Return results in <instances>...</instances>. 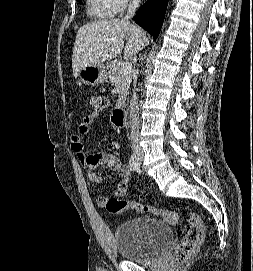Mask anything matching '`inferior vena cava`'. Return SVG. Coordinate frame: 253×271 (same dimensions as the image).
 <instances>
[{
    "instance_id": "602c4592",
    "label": "inferior vena cava",
    "mask_w": 253,
    "mask_h": 271,
    "mask_svg": "<svg viewBox=\"0 0 253 271\" xmlns=\"http://www.w3.org/2000/svg\"><path fill=\"white\" fill-rule=\"evenodd\" d=\"M139 2L140 0H133L129 4L127 15L124 17L125 20H128L133 17L137 7L139 6ZM138 125H139V105L137 94L134 91L130 103V127H131L130 139L132 144V150L136 152L141 151V148L139 146Z\"/></svg>"
}]
</instances>
